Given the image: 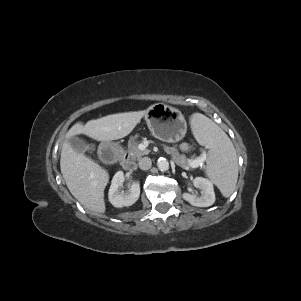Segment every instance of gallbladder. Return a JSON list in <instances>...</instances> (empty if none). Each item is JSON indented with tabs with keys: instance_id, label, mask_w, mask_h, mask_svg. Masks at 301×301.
Wrapping results in <instances>:
<instances>
[{
	"instance_id": "bac80fb5",
	"label": "gallbladder",
	"mask_w": 301,
	"mask_h": 301,
	"mask_svg": "<svg viewBox=\"0 0 301 301\" xmlns=\"http://www.w3.org/2000/svg\"><path fill=\"white\" fill-rule=\"evenodd\" d=\"M68 141L71 147L78 153L84 154L88 150L86 142L77 136L70 137Z\"/></svg>"
}]
</instances>
